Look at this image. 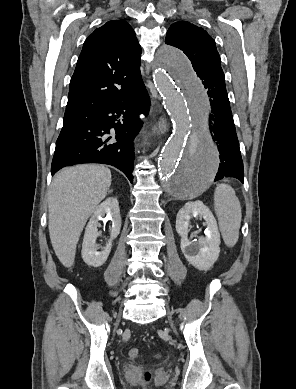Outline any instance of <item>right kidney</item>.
<instances>
[{
	"instance_id": "ca27d5eb",
	"label": "right kidney",
	"mask_w": 296,
	"mask_h": 389,
	"mask_svg": "<svg viewBox=\"0 0 296 389\" xmlns=\"http://www.w3.org/2000/svg\"><path fill=\"white\" fill-rule=\"evenodd\" d=\"M105 215L106 220L112 221L110 239L106 246L101 251H98L99 247L96 239L100 235L98 231V227L100 226L99 221L103 220ZM120 229L121 216L118 200L114 197H109L100 205L96 206L85 229L81 252L84 262L93 267L102 266L110 254L112 242L119 235Z\"/></svg>"
}]
</instances>
